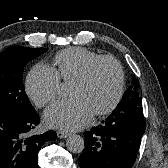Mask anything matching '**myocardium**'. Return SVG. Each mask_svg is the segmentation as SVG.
Masks as SVG:
<instances>
[{
	"label": "myocardium",
	"mask_w": 168,
	"mask_h": 168,
	"mask_svg": "<svg viewBox=\"0 0 168 168\" xmlns=\"http://www.w3.org/2000/svg\"><path fill=\"white\" fill-rule=\"evenodd\" d=\"M111 62L115 65L117 69V84H116V90L115 93L110 100V102L102 109H99L94 112V115L96 116H103L111 113L118 105L120 102L123 92H124V82H125V73L123 66L121 62L115 58L114 56L111 55H101L98 58L92 60L86 67L85 69L81 72L79 76H77L74 80L73 83H84L86 82L90 76L92 75L94 69L97 67L102 62Z\"/></svg>",
	"instance_id": "myocardium-1"
}]
</instances>
